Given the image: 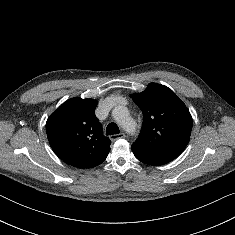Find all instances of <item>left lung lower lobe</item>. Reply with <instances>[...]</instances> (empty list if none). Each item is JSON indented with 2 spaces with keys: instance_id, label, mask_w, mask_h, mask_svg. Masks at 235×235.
Returning <instances> with one entry per match:
<instances>
[{
  "instance_id": "1",
  "label": "left lung lower lobe",
  "mask_w": 235,
  "mask_h": 235,
  "mask_svg": "<svg viewBox=\"0 0 235 235\" xmlns=\"http://www.w3.org/2000/svg\"><path fill=\"white\" fill-rule=\"evenodd\" d=\"M132 151H133L135 157L139 161H141L145 164H149V165H163V164H166V163L173 160V158H171V157L148 154V153H144V152H140V151H136V150H132Z\"/></svg>"
}]
</instances>
